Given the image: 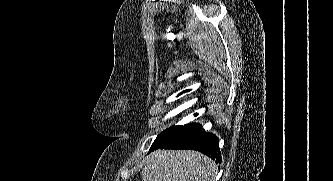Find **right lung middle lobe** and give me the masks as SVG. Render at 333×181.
Returning <instances> with one entry per match:
<instances>
[{"label":"right lung middle lobe","instance_id":"dd1d6c3e","mask_svg":"<svg viewBox=\"0 0 333 181\" xmlns=\"http://www.w3.org/2000/svg\"><path fill=\"white\" fill-rule=\"evenodd\" d=\"M198 124H190L185 126H171L170 128L166 129L165 131L161 132L154 143L152 144V147L156 146H165L169 145L182 136L186 135L190 131H192L194 128H196Z\"/></svg>","mask_w":333,"mask_h":181}]
</instances>
